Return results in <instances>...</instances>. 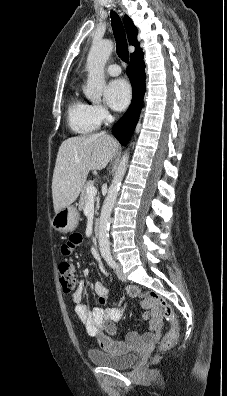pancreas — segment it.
Listing matches in <instances>:
<instances>
[{
	"label": "pancreas",
	"instance_id": "cf45deb5",
	"mask_svg": "<svg viewBox=\"0 0 227 396\" xmlns=\"http://www.w3.org/2000/svg\"><path fill=\"white\" fill-rule=\"evenodd\" d=\"M90 185H93V181L86 182V184L84 185V187L81 190V196H80V200H79V209H81V210L84 209L86 201L88 199L87 188ZM96 200L98 201V198Z\"/></svg>",
	"mask_w": 227,
	"mask_h": 396
}]
</instances>
